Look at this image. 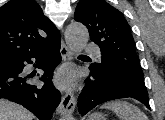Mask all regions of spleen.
Segmentation results:
<instances>
[{"label": "spleen", "mask_w": 165, "mask_h": 120, "mask_svg": "<svg viewBox=\"0 0 165 120\" xmlns=\"http://www.w3.org/2000/svg\"><path fill=\"white\" fill-rule=\"evenodd\" d=\"M101 108L112 110L120 120H148V117L135 105L126 101H111Z\"/></svg>", "instance_id": "1"}]
</instances>
